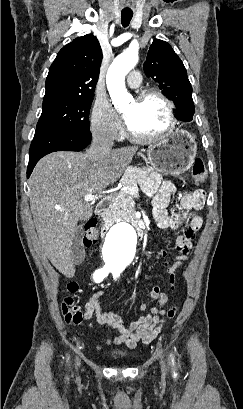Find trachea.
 Listing matches in <instances>:
<instances>
[{
	"mask_svg": "<svg viewBox=\"0 0 243 409\" xmlns=\"http://www.w3.org/2000/svg\"><path fill=\"white\" fill-rule=\"evenodd\" d=\"M133 17V12L131 11H122L121 12V22L123 27H127Z\"/></svg>",
	"mask_w": 243,
	"mask_h": 409,
	"instance_id": "1",
	"label": "trachea"
}]
</instances>
